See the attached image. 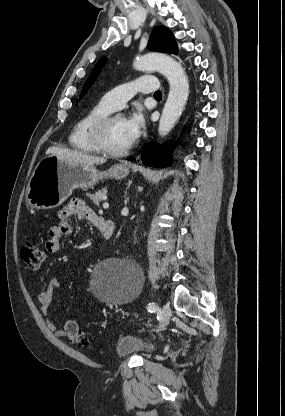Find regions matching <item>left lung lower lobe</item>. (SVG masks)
Segmentation results:
<instances>
[{"label": "left lung lower lobe", "instance_id": "left-lung-lower-lobe-1", "mask_svg": "<svg viewBox=\"0 0 285 416\" xmlns=\"http://www.w3.org/2000/svg\"><path fill=\"white\" fill-rule=\"evenodd\" d=\"M169 149H164L156 144L150 143L142 151V162L147 166L152 167H164L169 164L171 157ZM127 160L134 161V157H130Z\"/></svg>", "mask_w": 285, "mask_h": 416}]
</instances>
